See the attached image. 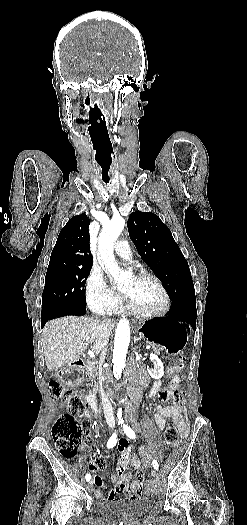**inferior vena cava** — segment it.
<instances>
[{
    "label": "inferior vena cava",
    "mask_w": 247,
    "mask_h": 525,
    "mask_svg": "<svg viewBox=\"0 0 247 525\" xmlns=\"http://www.w3.org/2000/svg\"><path fill=\"white\" fill-rule=\"evenodd\" d=\"M104 323H110V319H105ZM106 349H107V343H101L99 365H103V361H104L105 355H106ZM102 379H103V377H102V375H100V379H99L100 387H102Z\"/></svg>",
    "instance_id": "obj_1"
}]
</instances>
